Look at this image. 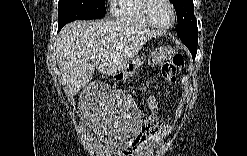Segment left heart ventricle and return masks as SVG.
Returning a JSON list of instances; mask_svg holds the SVG:
<instances>
[{"label": "left heart ventricle", "instance_id": "left-heart-ventricle-1", "mask_svg": "<svg viewBox=\"0 0 247 156\" xmlns=\"http://www.w3.org/2000/svg\"><path fill=\"white\" fill-rule=\"evenodd\" d=\"M149 15L155 23L160 25L169 24L172 20L171 9L167 3L162 0L152 2Z\"/></svg>", "mask_w": 247, "mask_h": 156}]
</instances>
